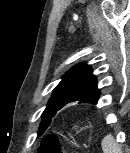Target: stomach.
Wrapping results in <instances>:
<instances>
[{
  "instance_id": "obj_1",
  "label": "stomach",
  "mask_w": 130,
  "mask_h": 153,
  "mask_svg": "<svg viewBox=\"0 0 130 153\" xmlns=\"http://www.w3.org/2000/svg\"><path fill=\"white\" fill-rule=\"evenodd\" d=\"M85 128H87V127H85ZM85 128L84 127L83 128H80L79 130H77V133L81 132Z\"/></svg>"
}]
</instances>
